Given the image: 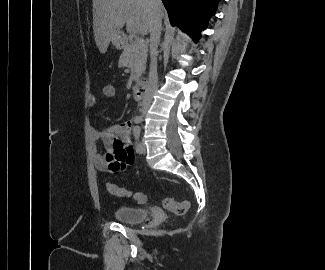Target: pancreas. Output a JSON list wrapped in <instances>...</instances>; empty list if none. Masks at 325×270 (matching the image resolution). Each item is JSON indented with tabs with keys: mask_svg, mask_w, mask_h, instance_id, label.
<instances>
[{
	"mask_svg": "<svg viewBox=\"0 0 325 270\" xmlns=\"http://www.w3.org/2000/svg\"><path fill=\"white\" fill-rule=\"evenodd\" d=\"M148 47L138 46L135 41H131L124 48L119 59V65L131 68L135 72V81L141 77L146 68Z\"/></svg>",
	"mask_w": 325,
	"mask_h": 270,
	"instance_id": "cf45deb5",
	"label": "pancreas"
}]
</instances>
